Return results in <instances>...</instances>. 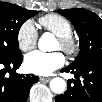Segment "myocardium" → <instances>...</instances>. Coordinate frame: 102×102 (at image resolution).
I'll return each instance as SVG.
<instances>
[{"instance_id": "obj_1", "label": "myocardium", "mask_w": 102, "mask_h": 102, "mask_svg": "<svg viewBox=\"0 0 102 102\" xmlns=\"http://www.w3.org/2000/svg\"><path fill=\"white\" fill-rule=\"evenodd\" d=\"M57 42L59 43V49L68 57L75 56L80 49L79 39L73 33L57 37Z\"/></svg>"}]
</instances>
